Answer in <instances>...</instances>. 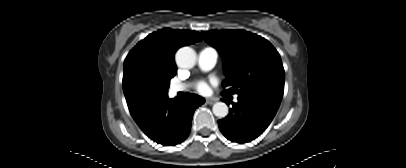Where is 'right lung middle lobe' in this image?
<instances>
[{
	"instance_id": "dd1d6c3e",
	"label": "right lung middle lobe",
	"mask_w": 406,
	"mask_h": 168,
	"mask_svg": "<svg viewBox=\"0 0 406 168\" xmlns=\"http://www.w3.org/2000/svg\"><path fill=\"white\" fill-rule=\"evenodd\" d=\"M170 79H157L154 77H143L136 88L138 101L142 107L160 102L168 97Z\"/></svg>"
}]
</instances>
